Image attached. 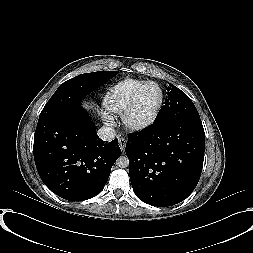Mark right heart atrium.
<instances>
[{
  "instance_id": "1",
  "label": "right heart atrium",
  "mask_w": 253,
  "mask_h": 253,
  "mask_svg": "<svg viewBox=\"0 0 253 253\" xmlns=\"http://www.w3.org/2000/svg\"><path fill=\"white\" fill-rule=\"evenodd\" d=\"M103 120L107 125H112L114 123V118L108 112L103 113Z\"/></svg>"
}]
</instances>
